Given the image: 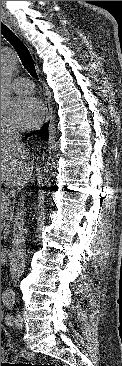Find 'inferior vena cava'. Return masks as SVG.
Masks as SVG:
<instances>
[{
	"instance_id": "1",
	"label": "inferior vena cava",
	"mask_w": 122,
	"mask_h": 366,
	"mask_svg": "<svg viewBox=\"0 0 122 366\" xmlns=\"http://www.w3.org/2000/svg\"><path fill=\"white\" fill-rule=\"evenodd\" d=\"M5 138L7 139L8 145H11L22 154V157H26L27 150L23 143L20 142V134L16 130H7L4 133ZM21 191V188L18 187V192ZM17 212L13 220L12 226V245L10 256V271L12 275V279H16L17 276H20L22 273L19 264L24 262L26 253H25V233L26 229L24 227V196L20 199L18 204ZM23 265V264H22ZM18 268V269H16ZM18 271V275L16 273ZM20 271V272H19Z\"/></svg>"
}]
</instances>
